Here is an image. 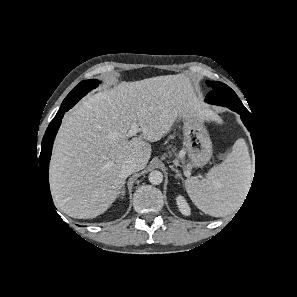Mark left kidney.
Segmentation results:
<instances>
[{
  "mask_svg": "<svg viewBox=\"0 0 297 297\" xmlns=\"http://www.w3.org/2000/svg\"><path fill=\"white\" fill-rule=\"evenodd\" d=\"M176 202H177V206H178L180 212L183 215H185V216L190 215V212H191L190 207L183 196H178L176 198Z\"/></svg>",
  "mask_w": 297,
  "mask_h": 297,
  "instance_id": "left-kidney-1",
  "label": "left kidney"
}]
</instances>
